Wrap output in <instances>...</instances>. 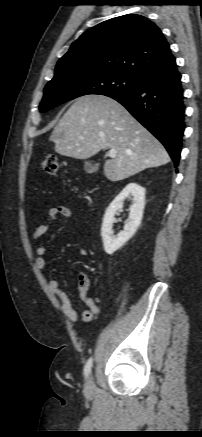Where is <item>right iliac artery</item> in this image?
I'll list each match as a JSON object with an SVG mask.
<instances>
[{
	"label": "right iliac artery",
	"instance_id": "obj_1",
	"mask_svg": "<svg viewBox=\"0 0 202 437\" xmlns=\"http://www.w3.org/2000/svg\"><path fill=\"white\" fill-rule=\"evenodd\" d=\"M91 367H92V358L88 359V361L85 364L84 367V375L85 377H87L91 371Z\"/></svg>",
	"mask_w": 202,
	"mask_h": 437
}]
</instances>
